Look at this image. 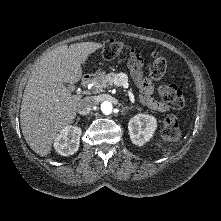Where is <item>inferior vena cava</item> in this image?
<instances>
[{
	"mask_svg": "<svg viewBox=\"0 0 221 221\" xmlns=\"http://www.w3.org/2000/svg\"><path fill=\"white\" fill-rule=\"evenodd\" d=\"M96 104L94 97H85L78 103V111L82 115H87L92 111Z\"/></svg>",
	"mask_w": 221,
	"mask_h": 221,
	"instance_id": "inferior-vena-cava-1",
	"label": "inferior vena cava"
}]
</instances>
